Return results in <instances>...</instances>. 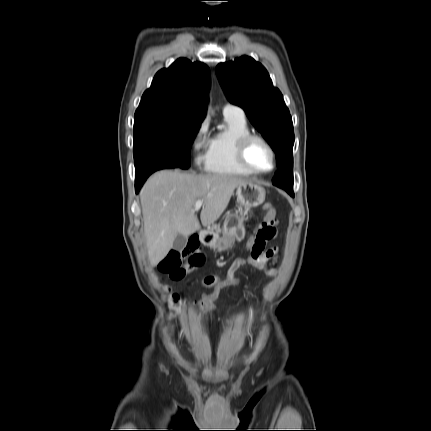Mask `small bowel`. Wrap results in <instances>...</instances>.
I'll return each instance as SVG.
<instances>
[{
    "label": "small bowel",
    "mask_w": 431,
    "mask_h": 431,
    "mask_svg": "<svg viewBox=\"0 0 431 431\" xmlns=\"http://www.w3.org/2000/svg\"><path fill=\"white\" fill-rule=\"evenodd\" d=\"M276 222L270 224L269 233L262 236H257L255 234V246L253 251L250 252V255L247 258H240L235 260L232 265L229 267L227 274L225 277H222L221 274L217 272H213L210 276H207L203 282V287H213V291L207 294H204L201 300L198 301V305L203 307L208 313H212L215 311L214 302L218 298L220 292L227 287L235 286L238 284V279L235 277L236 272L244 265H251L258 270L263 271L267 275H273L274 270L268 265V262L276 257L277 249L275 247H266V243L275 237ZM227 324L234 326L236 328L249 330V327L236 322V321H226ZM177 333L182 336L184 331L183 329H178Z\"/></svg>",
    "instance_id": "1"
}]
</instances>
